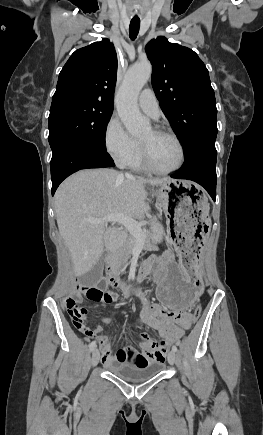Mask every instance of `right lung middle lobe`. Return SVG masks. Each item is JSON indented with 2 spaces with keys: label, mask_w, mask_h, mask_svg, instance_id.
I'll return each mask as SVG.
<instances>
[{
  "label": "right lung middle lobe",
  "mask_w": 263,
  "mask_h": 435,
  "mask_svg": "<svg viewBox=\"0 0 263 435\" xmlns=\"http://www.w3.org/2000/svg\"><path fill=\"white\" fill-rule=\"evenodd\" d=\"M113 106L100 102H68L51 106L49 143L53 155L64 143H81L105 150L107 124Z\"/></svg>",
  "instance_id": "right-lung-middle-lobe-1"
}]
</instances>
